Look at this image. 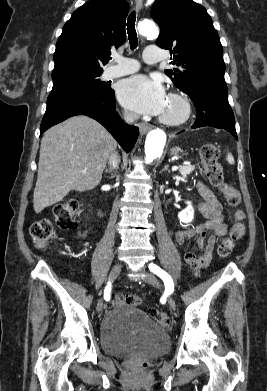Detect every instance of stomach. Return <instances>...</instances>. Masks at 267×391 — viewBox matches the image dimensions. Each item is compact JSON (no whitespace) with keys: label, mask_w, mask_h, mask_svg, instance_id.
<instances>
[{"label":"stomach","mask_w":267,"mask_h":391,"mask_svg":"<svg viewBox=\"0 0 267 391\" xmlns=\"http://www.w3.org/2000/svg\"><path fill=\"white\" fill-rule=\"evenodd\" d=\"M181 152H182V150L179 147H174L171 149V154L174 156H177Z\"/></svg>","instance_id":"stomach-1"}]
</instances>
